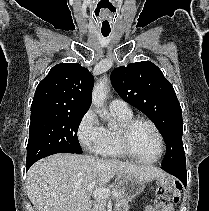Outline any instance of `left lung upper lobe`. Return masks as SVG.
Wrapping results in <instances>:
<instances>
[{"label": "left lung upper lobe", "instance_id": "1", "mask_svg": "<svg viewBox=\"0 0 209 211\" xmlns=\"http://www.w3.org/2000/svg\"><path fill=\"white\" fill-rule=\"evenodd\" d=\"M111 83L124 101L155 122L167 146L162 166L185 163L182 110L162 71L150 61L131 63L115 68Z\"/></svg>", "mask_w": 209, "mask_h": 211}]
</instances>
